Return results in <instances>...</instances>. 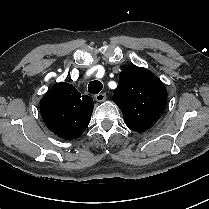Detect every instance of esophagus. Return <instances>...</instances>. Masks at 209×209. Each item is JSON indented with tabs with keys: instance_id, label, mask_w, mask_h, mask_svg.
<instances>
[{
	"instance_id": "obj_1",
	"label": "esophagus",
	"mask_w": 209,
	"mask_h": 209,
	"mask_svg": "<svg viewBox=\"0 0 209 209\" xmlns=\"http://www.w3.org/2000/svg\"><path fill=\"white\" fill-rule=\"evenodd\" d=\"M94 98L97 102H103V101L106 100V94L105 93H99V94H96L94 96Z\"/></svg>"
}]
</instances>
